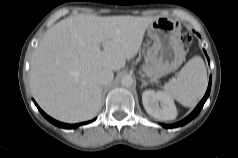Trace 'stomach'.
<instances>
[{
    "mask_svg": "<svg viewBox=\"0 0 238 158\" xmlns=\"http://www.w3.org/2000/svg\"><path fill=\"white\" fill-rule=\"evenodd\" d=\"M147 34L153 44L147 50L146 63L154 70V75L162 77L177 70L186 52L176 22L169 18H157L147 27Z\"/></svg>",
    "mask_w": 238,
    "mask_h": 158,
    "instance_id": "stomach-1",
    "label": "stomach"
}]
</instances>
